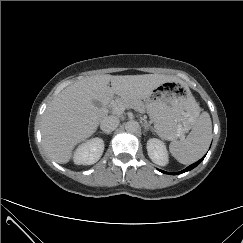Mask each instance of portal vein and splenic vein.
<instances>
[{"label": "portal vein and splenic vein", "instance_id": "obj_1", "mask_svg": "<svg viewBox=\"0 0 243 243\" xmlns=\"http://www.w3.org/2000/svg\"><path fill=\"white\" fill-rule=\"evenodd\" d=\"M125 111V107L123 105H119L115 107V112L117 114H122Z\"/></svg>", "mask_w": 243, "mask_h": 243}]
</instances>
